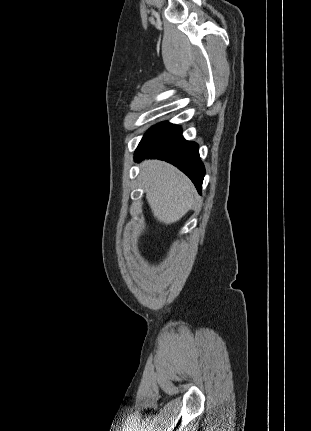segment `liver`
Here are the masks:
<instances>
[{"instance_id":"liver-1","label":"liver","mask_w":311,"mask_h":431,"mask_svg":"<svg viewBox=\"0 0 311 431\" xmlns=\"http://www.w3.org/2000/svg\"><path fill=\"white\" fill-rule=\"evenodd\" d=\"M140 178L153 216L174 223L194 206L195 188L187 176L171 164L150 160L142 164Z\"/></svg>"}]
</instances>
